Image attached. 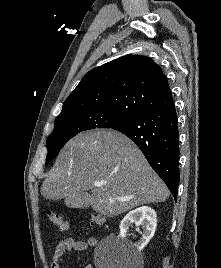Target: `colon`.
Wrapping results in <instances>:
<instances>
[{
	"mask_svg": "<svg viewBox=\"0 0 221 268\" xmlns=\"http://www.w3.org/2000/svg\"><path fill=\"white\" fill-rule=\"evenodd\" d=\"M47 216L49 220L61 231L69 229V222L61 217L59 214L48 210ZM105 224V219L99 215H93L90 218V226H101Z\"/></svg>",
	"mask_w": 221,
	"mask_h": 268,
	"instance_id": "1",
	"label": "colon"
}]
</instances>
